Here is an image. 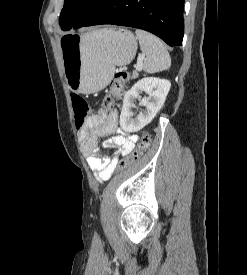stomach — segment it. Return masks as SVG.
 Here are the masks:
<instances>
[{
    "instance_id": "0dacf381",
    "label": "stomach",
    "mask_w": 247,
    "mask_h": 275,
    "mask_svg": "<svg viewBox=\"0 0 247 275\" xmlns=\"http://www.w3.org/2000/svg\"><path fill=\"white\" fill-rule=\"evenodd\" d=\"M137 46L136 37L126 29L104 28L85 35H64L60 49L68 87L84 94L104 89L116 66L128 65L134 59Z\"/></svg>"
}]
</instances>
